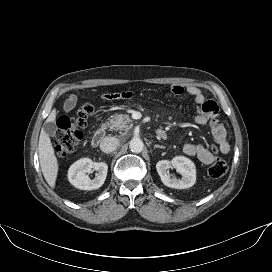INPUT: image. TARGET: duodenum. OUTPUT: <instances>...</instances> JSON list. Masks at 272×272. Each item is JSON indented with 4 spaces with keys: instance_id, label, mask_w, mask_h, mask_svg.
<instances>
[{
    "instance_id": "1",
    "label": "duodenum",
    "mask_w": 272,
    "mask_h": 272,
    "mask_svg": "<svg viewBox=\"0 0 272 272\" xmlns=\"http://www.w3.org/2000/svg\"><path fill=\"white\" fill-rule=\"evenodd\" d=\"M156 135L160 138V139H165L166 138V132L163 131V130H157L156 131ZM106 136V130L105 128H101L99 130H97L95 132V134L93 135V138H92V144L93 146H99L102 141L104 140Z\"/></svg>"
}]
</instances>
